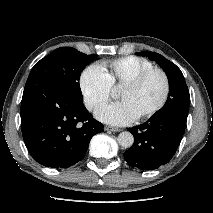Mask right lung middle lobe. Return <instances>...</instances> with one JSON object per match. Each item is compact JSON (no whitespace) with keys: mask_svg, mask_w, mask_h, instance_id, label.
<instances>
[{"mask_svg":"<svg viewBox=\"0 0 213 213\" xmlns=\"http://www.w3.org/2000/svg\"><path fill=\"white\" fill-rule=\"evenodd\" d=\"M96 57L95 54L86 55L72 47L58 48L34 65L25 86L46 83L77 103H82L80 74Z\"/></svg>","mask_w":213,"mask_h":213,"instance_id":"obj_1","label":"right lung middle lobe"}]
</instances>
